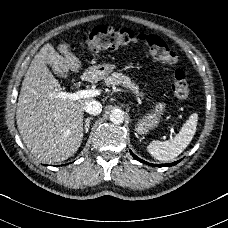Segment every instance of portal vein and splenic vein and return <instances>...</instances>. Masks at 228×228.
<instances>
[{
    "label": "portal vein and splenic vein",
    "mask_w": 228,
    "mask_h": 228,
    "mask_svg": "<svg viewBox=\"0 0 228 228\" xmlns=\"http://www.w3.org/2000/svg\"><path fill=\"white\" fill-rule=\"evenodd\" d=\"M101 94V90H79L77 92L74 93H70V92H60L58 97L61 98H67L70 99L71 101H77L79 99H83V98H89V97H94V96H98ZM173 118L179 121L183 120V117L181 115L178 114H174ZM167 134L171 136V138H176L177 134L174 131V127L170 126L169 129H167ZM160 140L164 141L166 140V135L162 134L160 135Z\"/></svg>",
    "instance_id": "18ae733b"
}]
</instances>
